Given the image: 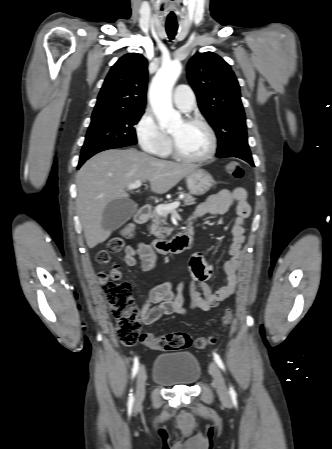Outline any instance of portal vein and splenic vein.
Returning a JSON list of instances; mask_svg holds the SVG:
<instances>
[{
  "label": "portal vein and splenic vein",
  "mask_w": 332,
  "mask_h": 449,
  "mask_svg": "<svg viewBox=\"0 0 332 449\" xmlns=\"http://www.w3.org/2000/svg\"><path fill=\"white\" fill-rule=\"evenodd\" d=\"M141 185H142V182L139 181V180H137V181H135V182H133V183H130V184L127 186V189H128V190L137 189V188L141 187ZM179 206H180V202H179V201H176V202H173V203H170V204H166V205H158V206L156 207V211H157L159 214H161V215H165V214H167V213H169V212L174 211V210L177 209Z\"/></svg>",
  "instance_id": "portal-vein-and-splenic-vein-1"
}]
</instances>
